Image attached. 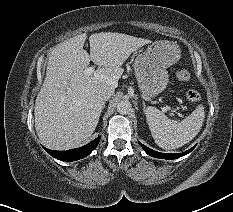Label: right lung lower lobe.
Returning <instances> with one entry per match:
<instances>
[{
	"label": "right lung lower lobe",
	"mask_w": 233,
	"mask_h": 212,
	"mask_svg": "<svg viewBox=\"0 0 233 212\" xmlns=\"http://www.w3.org/2000/svg\"><path fill=\"white\" fill-rule=\"evenodd\" d=\"M100 138L94 139L89 144L67 151H55L44 148L51 156L61 161H76L88 156L99 144Z\"/></svg>",
	"instance_id": "1"
}]
</instances>
